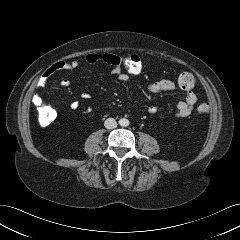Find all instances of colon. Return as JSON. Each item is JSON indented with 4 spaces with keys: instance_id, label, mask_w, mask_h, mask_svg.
<instances>
[{
    "instance_id": "1",
    "label": "colon",
    "mask_w": 240,
    "mask_h": 240,
    "mask_svg": "<svg viewBox=\"0 0 240 240\" xmlns=\"http://www.w3.org/2000/svg\"><path fill=\"white\" fill-rule=\"evenodd\" d=\"M102 60L110 64L113 68L121 70L127 76L139 75L143 71V61L137 55L119 56L105 54ZM177 83L181 89L191 90L196 84V78L191 72H184L179 75ZM196 109L199 113L205 114L209 111V105L207 103H200ZM37 115L40 125L48 126L55 120L57 114L52 107L45 103H40L37 105Z\"/></svg>"
}]
</instances>
